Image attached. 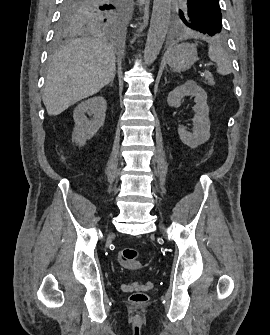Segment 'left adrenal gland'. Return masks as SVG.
Segmentation results:
<instances>
[{
    "label": "left adrenal gland",
    "mask_w": 270,
    "mask_h": 335,
    "mask_svg": "<svg viewBox=\"0 0 270 335\" xmlns=\"http://www.w3.org/2000/svg\"><path fill=\"white\" fill-rule=\"evenodd\" d=\"M164 80H165V84H168V82H167V78H164Z\"/></svg>",
    "instance_id": "obj_1"
}]
</instances>
